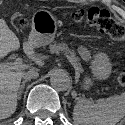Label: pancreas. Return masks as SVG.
<instances>
[{
  "instance_id": "cf45deb5",
  "label": "pancreas",
  "mask_w": 125,
  "mask_h": 125,
  "mask_svg": "<svg viewBox=\"0 0 125 125\" xmlns=\"http://www.w3.org/2000/svg\"><path fill=\"white\" fill-rule=\"evenodd\" d=\"M49 51L51 53H56V54L63 52L65 55L69 56L77 66L80 67L79 58L76 57L74 50L70 49L67 44L65 43L51 44L49 47Z\"/></svg>"
}]
</instances>
